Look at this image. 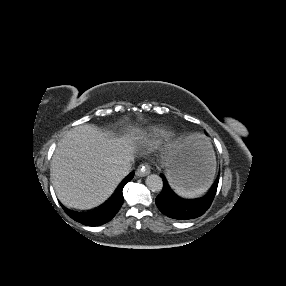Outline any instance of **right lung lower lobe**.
<instances>
[{
	"mask_svg": "<svg viewBox=\"0 0 286 286\" xmlns=\"http://www.w3.org/2000/svg\"><path fill=\"white\" fill-rule=\"evenodd\" d=\"M134 176V173H130L123 182L119 185L114 195L100 208L88 213H79L65 208L62 204V208L65 212L75 221L86 226H99L110 221L118 212L123 204V187Z\"/></svg>",
	"mask_w": 286,
	"mask_h": 286,
	"instance_id": "obj_1",
	"label": "right lung lower lobe"
}]
</instances>
